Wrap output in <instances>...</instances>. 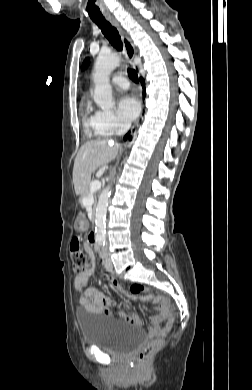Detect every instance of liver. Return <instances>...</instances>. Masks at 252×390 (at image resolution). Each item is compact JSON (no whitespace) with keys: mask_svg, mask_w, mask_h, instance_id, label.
<instances>
[{"mask_svg":"<svg viewBox=\"0 0 252 390\" xmlns=\"http://www.w3.org/2000/svg\"><path fill=\"white\" fill-rule=\"evenodd\" d=\"M118 148L107 140L86 142L81 146L73 167V183L77 195H83L89 187L91 174L100 166L111 162Z\"/></svg>","mask_w":252,"mask_h":390,"instance_id":"obj_1","label":"liver"}]
</instances>
